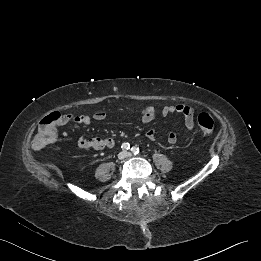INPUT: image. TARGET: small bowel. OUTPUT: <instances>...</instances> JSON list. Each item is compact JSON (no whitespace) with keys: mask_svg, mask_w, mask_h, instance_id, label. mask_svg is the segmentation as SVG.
Wrapping results in <instances>:
<instances>
[{"mask_svg":"<svg viewBox=\"0 0 261 261\" xmlns=\"http://www.w3.org/2000/svg\"><path fill=\"white\" fill-rule=\"evenodd\" d=\"M181 113L184 116L185 128L188 133L186 136V141L190 140V135L195 127L194 114L195 110L193 107L178 104V105H167L161 110H157L153 106H147L141 111V120L144 123H148L155 119L157 116L166 117L171 114ZM106 118V113L104 111H97L92 115L82 114L74 116L72 121L75 125H90L92 121H102ZM157 132L155 129H150L146 133V138L149 141H154L156 139ZM178 140L176 132L170 131L167 135V141L170 144H175ZM115 146V140L111 137H94L86 138L80 137L77 141V148L84 151L102 150L104 148H113Z\"/></svg>","mask_w":261,"mask_h":261,"instance_id":"1","label":"small bowel"}]
</instances>
